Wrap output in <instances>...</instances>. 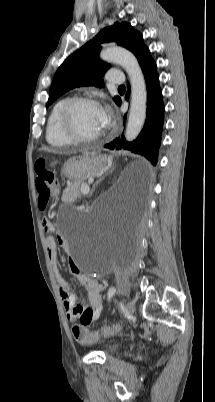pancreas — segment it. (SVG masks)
Masks as SVG:
<instances>
[{
    "mask_svg": "<svg viewBox=\"0 0 215 402\" xmlns=\"http://www.w3.org/2000/svg\"><path fill=\"white\" fill-rule=\"evenodd\" d=\"M82 186H87L84 182H74L67 187V192L73 194L74 196H80L82 192Z\"/></svg>",
    "mask_w": 215,
    "mask_h": 402,
    "instance_id": "1",
    "label": "pancreas"
}]
</instances>
